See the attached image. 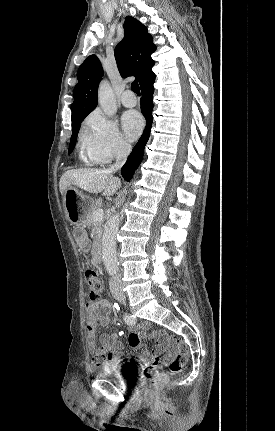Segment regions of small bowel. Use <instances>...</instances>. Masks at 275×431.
I'll use <instances>...</instances> for the list:
<instances>
[{"instance_id": "c3829d8e", "label": "small bowel", "mask_w": 275, "mask_h": 431, "mask_svg": "<svg viewBox=\"0 0 275 431\" xmlns=\"http://www.w3.org/2000/svg\"><path fill=\"white\" fill-rule=\"evenodd\" d=\"M75 240L82 250H87L89 241L87 235L80 230L74 233ZM86 311V343L88 351L94 355L97 365H108L121 360V351L123 344L116 334H101L99 337L100 345H97V328L98 326H106L110 322L111 305L106 299L99 301L88 302L85 306ZM150 325L148 322L140 323L137 328L139 330H147ZM165 342L159 340L156 348L150 354L144 352L141 354L142 361H150L159 363V354L164 350ZM170 353L164 358L163 362L167 363L171 356L177 351V347L169 345Z\"/></svg>"}]
</instances>
